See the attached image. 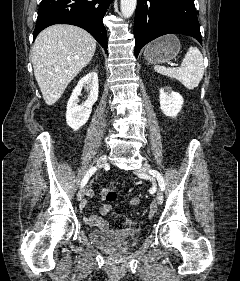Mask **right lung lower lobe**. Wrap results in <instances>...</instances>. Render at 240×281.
Returning a JSON list of instances; mask_svg holds the SVG:
<instances>
[{"label": "right lung lower lobe", "instance_id": "right-lung-lower-lobe-1", "mask_svg": "<svg viewBox=\"0 0 240 281\" xmlns=\"http://www.w3.org/2000/svg\"><path fill=\"white\" fill-rule=\"evenodd\" d=\"M112 0H42L33 39L53 24H71L88 31L107 53V32L103 17Z\"/></svg>", "mask_w": 240, "mask_h": 281}]
</instances>
